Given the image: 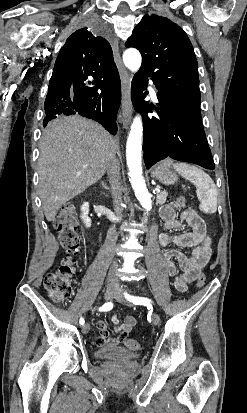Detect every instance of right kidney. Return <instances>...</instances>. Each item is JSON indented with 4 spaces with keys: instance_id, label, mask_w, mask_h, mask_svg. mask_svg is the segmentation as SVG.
Returning <instances> with one entry per match:
<instances>
[{
    "instance_id": "right-kidney-1",
    "label": "right kidney",
    "mask_w": 247,
    "mask_h": 413,
    "mask_svg": "<svg viewBox=\"0 0 247 413\" xmlns=\"http://www.w3.org/2000/svg\"><path fill=\"white\" fill-rule=\"evenodd\" d=\"M89 213V202H83L81 207V219L85 225V227H91V219L88 217Z\"/></svg>"
}]
</instances>
